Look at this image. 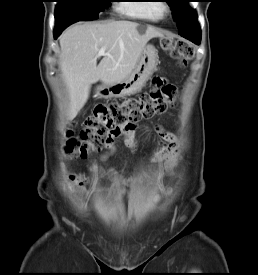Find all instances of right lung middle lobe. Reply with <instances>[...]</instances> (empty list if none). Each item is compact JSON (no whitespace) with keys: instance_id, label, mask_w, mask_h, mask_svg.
Instances as JSON below:
<instances>
[{"instance_id":"obj_1","label":"right lung middle lobe","mask_w":258,"mask_h":275,"mask_svg":"<svg viewBox=\"0 0 258 275\" xmlns=\"http://www.w3.org/2000/svg\"><path fill=\"white\" fill-rule=\"evenodd\" d=\"M110 5V0H58L55 21L94 20L100 11Z\"/></svg>"}]
</instances>
